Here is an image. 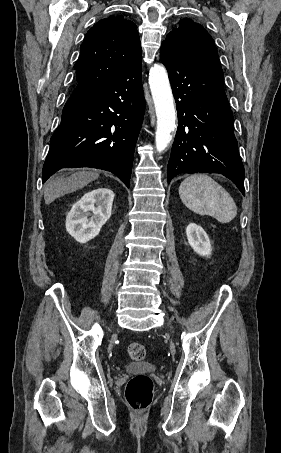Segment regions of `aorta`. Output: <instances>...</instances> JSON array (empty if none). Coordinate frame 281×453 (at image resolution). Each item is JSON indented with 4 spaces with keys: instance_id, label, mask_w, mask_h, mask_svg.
<instances>
[{
    "instance_id": "1",
    "label": "aorta",
    "mask_w": 281,
    "mask_h": 453,
    "mask_svg": "<svg viewBox=\"0 0 281 453\" xmlns=\"http://www.w3.org/2000/svg\"><path fill=\"white\" fill-rule=\"evenodd\" d=\"M149 85L154 101L157 130L156 149L163 152L170 144L176 128V110L167 71L163 65L154 64L149 72Z\"/></svg>"
}]
</instances>
